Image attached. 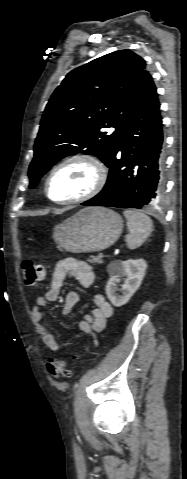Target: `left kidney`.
Returning a JSON list of instances; mask_svg holds the SVG:
<instances>
[{"label": "left kidney", "mask_w": 187, "mask_h": 479, "mask_svg": "<svg viewBox=\"0 0 187 479\" xmlns=\"http://www.w3.org/2000/svg\"><path fill=\"white\" fill-rule=\"evenodd\" d=\"M147 263L143 259L114 260L107 266L110 278L106 285V295L115 307L126 304L140 287L145 276ZM124 278L122 295H116L117 284Z\"/></svg>", "instance_id": "1"}]
</instances>
